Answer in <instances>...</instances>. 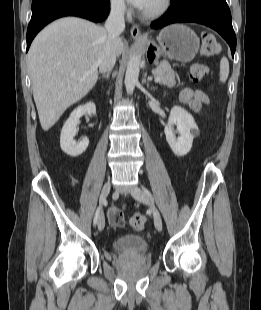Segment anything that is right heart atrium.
I'll list each match as a JSON object with an SVG mask.
<instances>
[{
    "label": "right heart atrium",
    "instance_id": "1",
    "mask_svg": "<svg viewBox=\"0 0 261 310\" xmlns=\"http://www.w3.org/2000/svg\"><path fill=\"white\" fill-rule=\"evenodd\" d=\"M112 13L118 16H124L127 13V6L124 0H109Z\"/></svg>",
    "mask_w": 261,
    "mask_h": 310
}]
</instances>
